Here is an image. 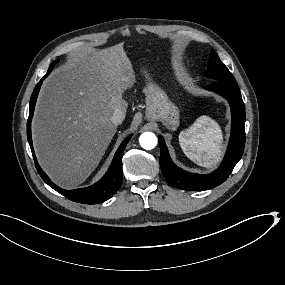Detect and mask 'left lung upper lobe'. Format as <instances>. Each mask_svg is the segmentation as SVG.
I'll return each instance as SVG.
<instances>
[{
	"mask_svg": "<svg viewBox=\"0 0 285 285\" xmlns=\"http://www.w3.org/2000/svg\"><path fill=\"white\" fill-rule=\"evenodd\" d=\"M205 74L213 81H235L233 75L230 73L228 68L221 62V60L213 50L210 53L208 69Z\"/></svg>",
	"mask_w": 285,
	"mask_h": 285,
	"instance_id": "1",
	"label": "left lung upper lobe"
}]
</instances>
